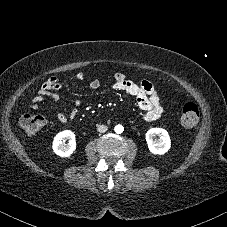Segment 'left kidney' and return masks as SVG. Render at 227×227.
I'll list each match as a JSON object with an SVG mask.
<instances>
[{"label":"left kidney","mask_w":227,"mask_h":227,"mask_svg":"<svg viewBox=\"0 0 227 227\" xmlns=\"http://www.w3.org/2000/svg\"><path fill=\"white\" fill-rule=\"evenodd\" d=\"M158 136V140L154 138ZM146 141L151 153L163 155L171 147V140L168 132L163 128H151L146 132Z\"/></svg>","instance_id":"left-kidney-1"}]
</instances>
